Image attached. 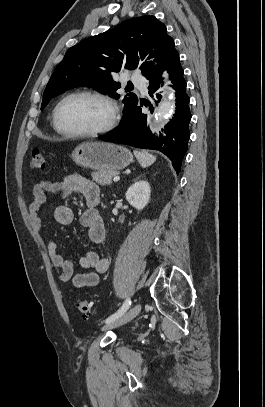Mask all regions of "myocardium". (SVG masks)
Listing matches in <instances>:
<instances>
[{"label":"myocardium","instance_id":"myocardium-1","mask_svg":"<svg viewBox=\"0 0 265 407\" xmlns=\"http://www.w3.org/2000/svg\"><path fill=\"white\" fill-rule=\"evenodd\" d=\"M76 96H87V97L95 98L97 100H100L104 104H106L110 111V117H109L108 122L99 129H96L93 131H87V132H73V131H67L64 128H62L60 121H59V112H60L61 106L63 105V103L66 100H68L72 97H76ZM118 117H119V110H118V107H117L116 103L114 102V100H112L109 96H107L103 93H100L97 91H92V90H77V91L68 93L63 98L60 99V101L57 103V105L55 106L54 111H53V123H54L55 129L61 135L70 137V138H93V137H98V136L107 134L115 128L117 121H118Z\"/></svg>","mask_w":265,"mask_h":407}]
</instances>
